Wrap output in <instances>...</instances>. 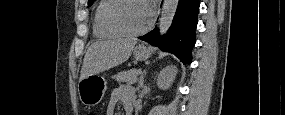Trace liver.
Masks as SVG:
<instances>
[{
	"label": "liver",
	"instance_id": "1",
	"mask_svg": "<svg viewBox=\"0 0 285 115\" xmlns=\"http://www.w3.org/2000/svg\"><path fill=\"white\" fill-rule=\"evenodd\" d=\"M136 43V38L94 42L85 54L80 80L124 63L131 56Z\"/></svg>",
	"mask_w": 285,
	"mask_h": 115
}]
</instances>
